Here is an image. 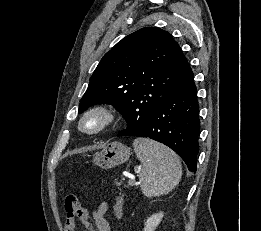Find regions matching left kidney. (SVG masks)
I'll return each mask as SVG.
<instances>
[{
  "label": "left kidney",
  "mask_w": 261,
  "mask_h": 231,
  "mask_svg": "<svg viewBox=\"0 0 261 231\" xmlns=\"http://www.w3.org/2000/svg\"><path fill=\"white\" fill-rule=\"evenodd\" d=\"M164 214L163 212H159L157 214H154L152 216H150L146 222H145V227H144V231H154L155 228L159 225V223L161 222L162 218H163Z\"/></svg>",
  "instance_id": "obj_1"
}]
</instances>
